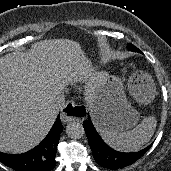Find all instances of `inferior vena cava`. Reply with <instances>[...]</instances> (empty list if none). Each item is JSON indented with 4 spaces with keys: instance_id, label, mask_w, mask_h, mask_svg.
Returning a JSON list of instances; mask_svg holds the SVG:
<instances>
[{
    "instance_id": "inferior-vena-cava-1",
    "label": "inferior vena cava",
    "mask_w": 171,
    "mask_h": 171,
    "mask_svg": "<svg viewBox=\"0 0 171 171\" xmlns=\"http://www.w3.org/2000/svg\"><path fill=\"white\" fill-rule=\"evenodd\" d=\"M64 103H65V98L63 96L59 97L56 103L54 104L53 109L59 111V109L62 108Z\"/></svg>"
}]
</instances>
